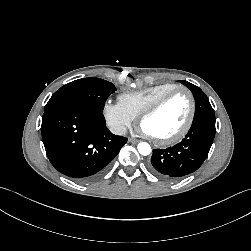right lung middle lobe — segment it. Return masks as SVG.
I'll use <instances>...</instances> for the list:
<instances>
[{"mask_svg":"<svg viewBox=\"0 0 251 251\" xmlns=\"http://www.w3.org/2000/svg\"><path fill=\"white\" fill-rule=\"evenodd\" d=\"M115 86L99 78H83L72 81L56 91L44 110L59 106H80L102 111Z\"/></svg>","mask_w":251,"mask_h":251,"instance_id":"dd1d6c3e","label":"right lung middle lobe"}]
</instances>
